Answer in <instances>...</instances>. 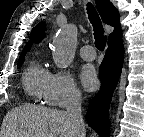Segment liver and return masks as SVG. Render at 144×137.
I'll use <instances>...</instances> for the list:
<instances>
[{"label":"liver","mask_w":144,"mask_h":137,"mask_svg":"<svg viewBox=\"0 0 144 137\" xmlns=\"http://www.w3.org/2000/svg\"><path fill=\"white\" fill-rule=\"evenodd\" d=\"M67 111L35 105L15 107L7 112L0 137H75Z\"/></svg>","instance_id":"liver-1"}]
</instances>
